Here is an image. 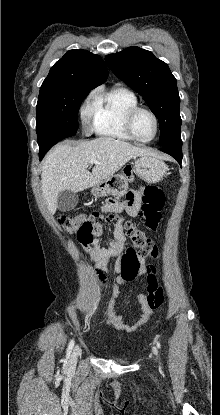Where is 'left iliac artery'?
<instances>
[{
	"mask_svg": "<svg viewBox=\"0 0 220 415\" xmlns=\"http://www.w3.org/2000/svg\"><path fill=\"white\" fill-rule=\"evenodd\" d=\"M157 347L160 348V343L159 342H157Z\"/></svg>",
	"mask_w": 220,
	"mask_h": 415,
	"instance_id": "left-iliac-artery-1",
	"label": "left iliac artery"
}]
</instances>
